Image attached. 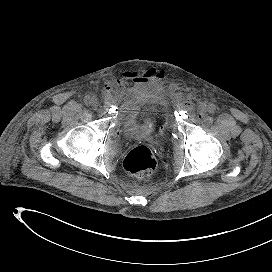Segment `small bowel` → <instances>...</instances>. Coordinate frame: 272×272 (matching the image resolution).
<instances>
[{
    "label": "small bowel",
    "instance_id": "1",
    "mask_svg": "<svg viewBox=\"0 0 272 272\" xmlns=\"http://www.w3.org/2000/svg\"><path fill=\"white\" fill-rule=\"evenodd\" d=\"M145 76L144 75H141V74H138V73H131V72H128V73H125L124 74V78L126 79H131L132 81H135V82H142L144 81V78ZM122 83V79H114L112 82H110L108 84V88L107 89H110V90H113V88L115 87H119Z\"/></svg>",
    "mask_w": 272,
    "mask_h": 272
}]
</instances>
